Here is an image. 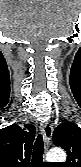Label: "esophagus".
Segmentation results:
<instances>
[{
	"mask_svg": "<svg viewBox=\"0 0 81 167\" xmlns=\"http://www.w3.org/2000/svg\"><path fill=\"white\" fill-rule=\"evenodd\" d=\"M40 130L43 134V139L46 148L50 145L51 137H52V124L49 121L43 123L40 127Z\"/></svg>",
	"mask_w": 81,
	"mask_h": 167,
	"instance_id": "1",
	"label": "esophagus"
}]
</instances>
